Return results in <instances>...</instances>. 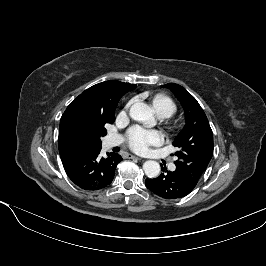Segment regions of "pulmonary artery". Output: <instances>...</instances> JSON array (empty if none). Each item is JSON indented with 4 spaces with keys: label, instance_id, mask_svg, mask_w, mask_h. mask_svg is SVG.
<instances>
[{
    "label": "pulmonary artery",
    "instance_id": "pulmonary-artery-1",
    "mask_svg": "<svg viewBox=\"0 0 266 266\" xmlns=\"http://www.w3.org/2000/svg\"><path fill=\"white\" fill-rule=\"evenodd\" d=\"M123 141V138L120 135L114 134V135H110L106 138V145L108 147H114L117 146L119 144H121ZM169 168L171 170L175 169V165L174 164H170Z\"/></svg>",
    "mask_w": 266,
    "mask_h": 266
}]
</instances>
